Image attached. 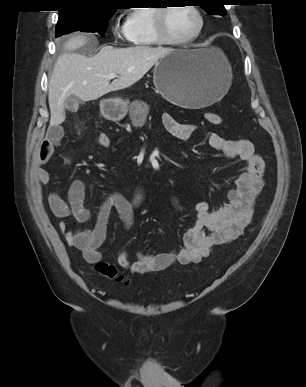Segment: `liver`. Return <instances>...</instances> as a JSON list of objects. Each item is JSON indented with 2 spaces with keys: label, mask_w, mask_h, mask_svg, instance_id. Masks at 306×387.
<instances>
[{
  "label": "liver",
  "mask_w": 306,
  "mask_h": 387,
  "mask_svg": "<svg viewBox=\"0 0 306 387\" xmlns=\"http://www.w3.org/2000/svg\"><path fill=\"white\" fill-rule=\"evenodd\" d=\"M88 42L85 36L68 39L54 66L48 88V101L51 111L50 126L64 122V102L70 96L82 101L96 100L103 95L128 88L138 82L169 52L170 48L135 46L114 48L103 46L92 56L75 53ZM118 75L110 83L108 74Z\"/></svg>",
  "instance_id": "6515ba94"
}]
</instances>
